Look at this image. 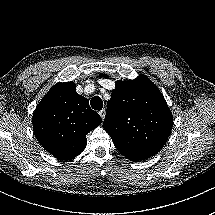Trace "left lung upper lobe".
<instances>
[{
	"label": "left lung upper lobe",
	"mask_w": 215,
	"mask_h": 215,
	"mask_svg": "<svg viewBox=\"0 0 215 215\" xmlns=\"http://www.w3.org/2000/svg\"><path fill=\"white\" fill-rule=\"evenodd\" d=\"M115 85L103 128L125 157L132 161L148 159L163 147L171 133V111L159 89L145 75L118 80Z\"/></svg>",
	"instance_id": "5c2ea615"
}]
</instances>
